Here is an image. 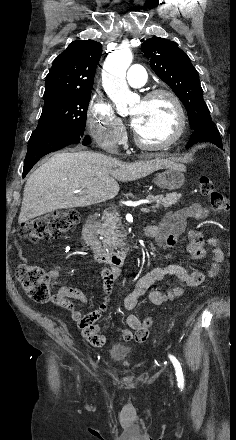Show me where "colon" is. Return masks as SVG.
I'll return each mask as SVG.
<instances>
[{"label":"colon","mask_w":236,"mask_h":440,"mask_svg":"<svg viewBox=\"0 0 236 440\" xmlns=\"http://www.w3.org/2000/svg\"><path fill=\"white\" fill-rule=\"evenodd\" d=\"M198 186L200 192L208 198L214 211L226 212L228 215L233 214L232 204L228 203L226 196L216 187L211 178L208 176L199 177ZM79 220L80 213L77 209L55 211L23 223L19 227L18 233L26 240L38 243L70 231L77 225ZM16 278L33 301L41 304L50 301L56 303L58 301V298L52 296L50 291L55 278L42 267L30 263H21L16 269ZM143 324H147L151 328L153 319L147 317L144 319ZM147 333L149 335V332ZM137 340L142 341L145 339Z\"/></svg>","instance_id":"1"}]
</instances>
